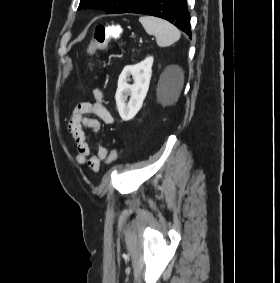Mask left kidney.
<instances>
[{"label": "left kidney", "instance_id": "obj_1", "mask_svg": "<svg viewBox=\"0 0 280 283\" xmlns=\"http://www.w3.org/2000/svg\"><path fill=\"white\" fill-rule=\"evenodd\" d=\"M153 57H147L142 62L124 67L118 79V87L115 100L120 117L124 121H129L141 109L143 101L147 95L150 79L152 75ZM132 76L133 84L127 81ZM130 99L127 103V96Z\"/></svg>", "mask_w": 280, "mask_h": 283}]
</instances>
